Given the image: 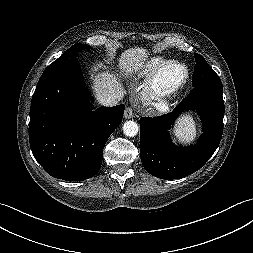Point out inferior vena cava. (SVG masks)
<instances>
[{
    "label": "inferior vena cava",
    "mask_w": 253,
    "mask_h": 253,
    "mask_svg": "<svg viewBox=\"0 0 253 253\" xmlns=\"http://www.w3.org/2000/svg\"><path fill=\"white\" fill-rule=\"evenodd\" d=\"M122 92H112V93H99L97 94L98 102L107 107L116 106L120 100H122Z\"/></svg>",
    "instance_id": "inferior-vena-cava-1"
}]
</instances>
